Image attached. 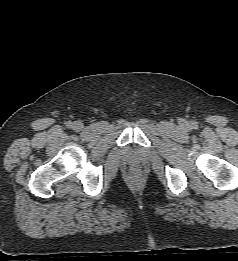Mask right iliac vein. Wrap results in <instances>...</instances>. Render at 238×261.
Instances as JSON below:
<instances>
[{
	"label": "right iliac vein",
	"instance_id": "63e3f726",
	"mask_svg": "<svg viewBox=\"0 0 238 261\" xmlns=\"http://www.w3.org/2000/svg\"><path fill=\"white\" fill-rule=\"evenodd\" d=\"M83 128V123L81 121H75L73 124V129L76 131H80Z\"/></svg>",
	"mask_w": 238,
	"mask_h": 261
}]
</instances>
